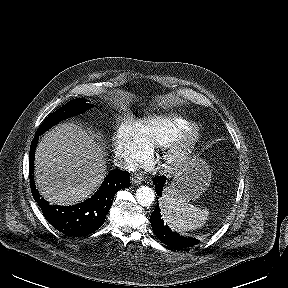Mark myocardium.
<instances>
[{"instance_id": "myocardium-1", "label": "myocardium", "mask_w": 288, "mask_h": 288, "mask_svg": "<svg viewBox=\"0 0 288 288\" xmlns=\"http://www.w3.org/2000/svg\"><path fill=\"white\" fill-rule=\"evenodd\" d=\"M203 136L202 127L191 122L174 135L163 147V161L171 171H179L195 157Z\"/></svg>"}]
</instances>
